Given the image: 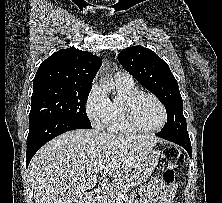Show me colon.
<instances>
[{"label": "colon", "instance_id": "1", "mask_svg": "<svg viewBox=\"0 0 222 203\" xmlns=\"http://www.w3.org/2000/svg\"><path fill=\"white\" fill-rule=\"evenodd\" d=\"M184 160L183 154L174 146H168L163 150L162 163L165 167L163 179L166 183H172L175 179V170Z\"/></svg>", "mask_w": 222, "mask_h": 203}]
</instances>
